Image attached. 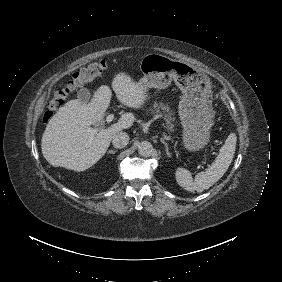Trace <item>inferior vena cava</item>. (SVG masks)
<instances>
[{"instance_id": "obj_1", "label": "inferior vena cava", "mask_w": 282, "mask_h": 282, "mask_svg": "<svg viewBox=\"0 0 282 282\" xmlns=\"http://www.w3.org/2000/svg\"><path fill=\"white\" fill-rule=\"evenodd\" d=\"M129 142V135L126 132H118L113 136V145L116 148H123Z\"/></svg>"}]
</instances>
